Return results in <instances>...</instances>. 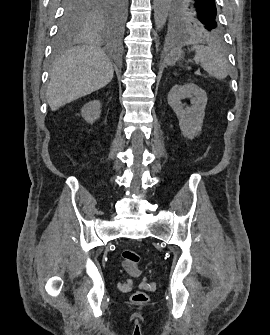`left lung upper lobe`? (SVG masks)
Returning a JSON list of instances; mask_svg holds the SVG:
<instances>
[{
	"instance_id": "obj_1",
	"label": "left lung upper lobe",
	"mask_w": 270,
	"mask_h": 335,
	"mask_svg": "<svg viewBox=\"0 0 270 335\" xmlns=\"http://www.w3.org/2000/svg\"><path fill=\"white\" fill-rule=\"evenodd\" d=\"M169 9L173 24L184 30L210 36L221 32L215 0H171Z\"/></svg>"
}]
</instances>
